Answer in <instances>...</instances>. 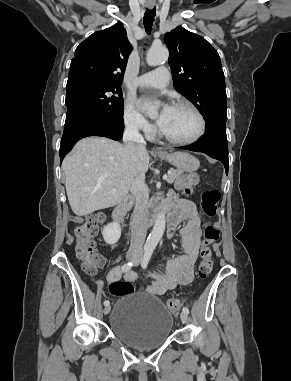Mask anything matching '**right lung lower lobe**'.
Segmentation results:
<instances>
[{
	"mask_svg": "<svg viewBox=\"0 0 291 381\" xmlns=\"http://www.w3.org/2000/svg\"><path fill=\"white\" fill-rule=\"evenodd\" d=\"M124 130L122 117L93 120L82 108L67 110L64 133L60 144V163L77 141L88 136H103L120 140Z\"/></svg>",
	"mask_w": 291,
	"mask_h": 381,
	"instance_id": "1",
	"label": "right lung lower lobe"
}]
</instances>
